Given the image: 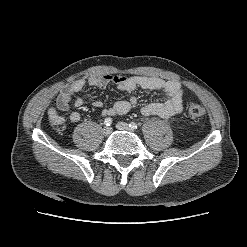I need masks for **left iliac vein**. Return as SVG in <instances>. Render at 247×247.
<instances>
[{
    "instance_id": "1",
    "label": "left iliac vein",
    "mask_w": 247,
    "mask_h": 247,
    "mask_svg": "<svg viewBox=\"0 0 247 247\" xmlns=\"http://www.w3.org/2000/svg\"><path fill=\"white\" fill-rule=\"evenodd\" d=\"M116 128L119 130L133 131L132 129L129 128L128 124L125 122H118L116 124Z\"/></svg>"
}]
</instances>
